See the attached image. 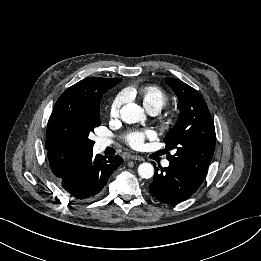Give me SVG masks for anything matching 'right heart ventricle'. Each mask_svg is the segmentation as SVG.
I'll return each instance as SVG.
<instances>
[{
	"label": "right heart ventricle",
	"mask_w": 261,
	"mask_h": 261,
	"mask_svg": "<svg viewBox=\"0 0 261 261\" xmlns=\"http://www.w3.org/2000/svg\"><path fill=\"white\" fill-rule=\"evenodd\" d=\"M127 96L134 94V90L126 89ZM138 97L142 100L145 108L149 111L158 113L168 101L167 93L157 86H146L136 91Z\"/></svg>",
	"instance_id": "obj_1"
}]
</instances>
